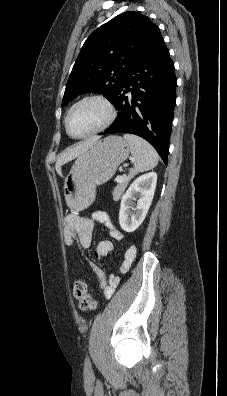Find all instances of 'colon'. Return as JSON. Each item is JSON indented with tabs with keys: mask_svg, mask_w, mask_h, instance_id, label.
I'll use <instances>...</instances> for the list:
<instances>
[{
	"mask_svg": "<svg viewBox=\"0 0 227 396\" xmlns=\"http://www.w3.org/2000/svg\"><path fill=\"white\" fill-rule=\"evenodd\" d=\"M73 295L79 302L81 310H93L96 307V302L87 292V286L81 279H77L73 284Z\"/></svg>",
	"mask_w": 227,
	"mask_h": 396,
	"instance_id": "1",
	"label": "colon"
}]
</instances>
